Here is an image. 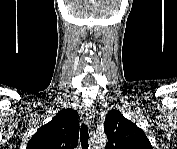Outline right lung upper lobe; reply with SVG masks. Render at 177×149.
<instances>
[{"mask_svg":"<svg viewBox=\"0 0 177 149\" xmlns=\"http://www.w3.org/2000/svg\"><path fill=\"white\" fill-rule=\"evenodd\" d=\"M79 116L63 109L32 136L27 149H73L78 145Z\"/></svg>","mask_w":177,"mask_h":149,"instance_id":"right-lung-upper-lobe-1","label":"right lung upper lobe"}]
</instances>
